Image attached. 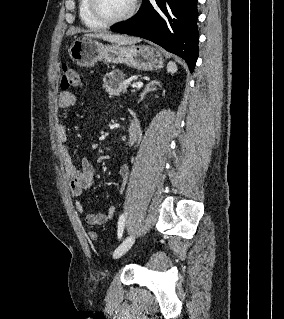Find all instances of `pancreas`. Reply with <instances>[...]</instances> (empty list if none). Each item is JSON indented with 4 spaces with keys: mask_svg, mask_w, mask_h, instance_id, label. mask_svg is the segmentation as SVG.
<instances>
[{
    "mask_svg": "<svg viewBox=\"0 0 284 319\" xmlns=\"http://www.w3.org/2000/svg\"><path fill=\"white\" fill-rule=\"evenodd\" d=\"M116 73H118L117 77L115 76ZM103 82V88L110 95H120V93L127 91L128 83H126L123 73L118 70L107 73L103 78Z\"/></svg>",
    "mask_w": 284,
    "mask_h": 319,
    "instance_id": "1",
    "label": "pancreas"
}]
</instances>
